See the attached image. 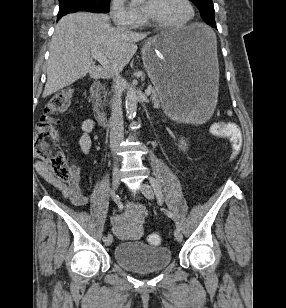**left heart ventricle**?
I'll return each mask as SVG.
<instances>
[{
  "label": "left heart ventricle",
  "mask_w": 286,
  "mask_h": 308,
  "mask_svg": "<svg viewBox=\"0 0 286 308\" xmlns=\"http://www.w3.org/2000/svg\"><path fill=\"white\" fill-rule=\"evenodd\" d=\"M189 15L184 0H155L149 16L155 21L175 24L185 21Z\"/></svg>",
  "instance_id": "b2bd125f"
}]
</instances>
